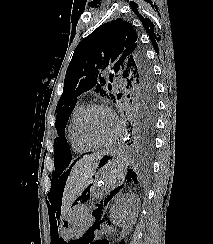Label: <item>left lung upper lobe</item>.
Listing matches in <instances>:
<instances>
[{
	"mask_svg": "<svg viewBox=\"0 0 213 244\" xmlns=\"http://www.w3.org/2000/svg\"><path fill=\"white\" fill-rule=\"evenodd\" d=\"M115 77L121 80L129 99L128 110L156 116L155 84L151 68L138 44L133 26L120 18L98 27L74 51L55 111V127L59 135L54 140L56 166H63L70 157L65 126L77 103V97L92 90L114 101L121 99L122 93L114 96L105 90L106 87L112 90Z\"/></svg>",
	"mask_w": 213,
	"mask_h": 244,
	"instance_id": "left-lung-upper-lobe-1",
	"label": "left lung upper lobe"
}]
</instances>
